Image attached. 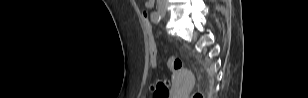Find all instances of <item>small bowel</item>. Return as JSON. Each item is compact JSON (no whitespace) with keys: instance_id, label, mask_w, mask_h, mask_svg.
<instances>
[{"instance_id":"small-bowel-1","label":"small bowel","mask_w":308,"mask_h":98,"mask_svg":"<svg viewBox=\"0 0 308 98\" xmlns=\"http://www.w3.org/2000/svg\"><path fill=\"white\" fill-rule=\"evenodd\" d=\"M153 5H154V1L153 0H148V1H146L145 2V6H146V8H152L153 7Z\"/></svg>"}]
</instances>
